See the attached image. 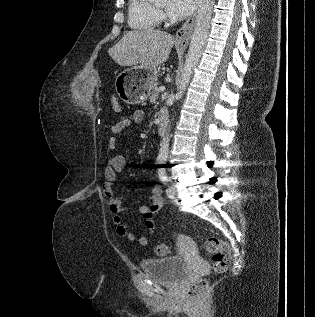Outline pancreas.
Returning <instances> with one entry per match:
<instances>
[{
	"label": "pancreas",
	"instance_id": "pancreas-1",
	"mask_svg": "<svg viewBox=\"0 0 315 317\" xmlns=\"http://www.w3.org/2000/svg\"><path fill=\"white\" fill-rule=\"evenodd\" d=\"M158 97H159V89L157 87V84H154L150 92V102L156 103Z\"/></svg>",
	"mask_w": 315,
	"mask_h": 317
}]
</instances>
